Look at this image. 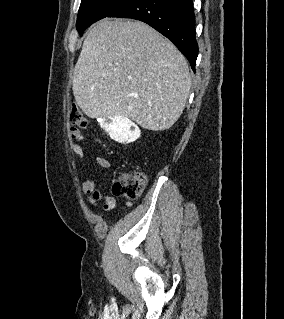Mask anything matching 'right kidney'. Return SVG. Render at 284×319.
<instances>
[{"label": "right kidney", "mask_w": 284, "mask_h": 319, "mask_svg": "<svg viewBox=\"0 0 284 319\" xmlns=\"http://www.w3.org/2000/svg\"><path fill=\"white\" fill-rule=\"evenodd\" d=\"M109 119V121L101 120L100 124L113 140L119 143H131L140 137V129L130 119L123 116Z\"/></svg>", "instance_id": "obj_1"}]
</instances>
